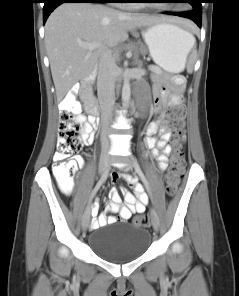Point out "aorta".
<instances>
[{
    "mask_svg": "<svg viewBox=\"0 0 239 296\" xmlns=\"http://www.w3.org/2000/svg\"><path fill=\"white\" fill-rule=\"evenodd\" d=\"M130 94H131L130 79L128 75H125L124 81H123V87H122V101L124 106L128 105L130 101Z\"/></svg>",
    "mask_w": 239,
    "mask_h": 296,
    "instance_id": "1",
    "label": "aorta"
}]
</instances>
